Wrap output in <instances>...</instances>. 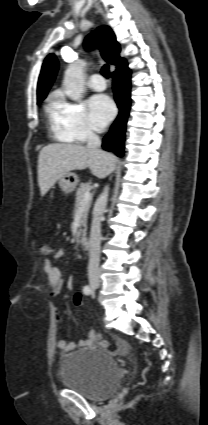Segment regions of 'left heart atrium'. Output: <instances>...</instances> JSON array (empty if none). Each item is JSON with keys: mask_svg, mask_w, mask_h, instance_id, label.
<instances>
[{"mask_svg": "<svg viewBox=\"0 0 208 425\" xmlns=\"http://www.w3.org/2000/svg\"><path fill=\"white\" fill-rule=\"evenodd\" d=\"M88 107L90 121L99 131L107 126L116 112L114 103L106 95H94L90 98Z\"/></svg>", "mask_w": 208, "mask_h": 425, "instance_id": "39dd6f15", "label": "left heart atrium"}]
</instances>
